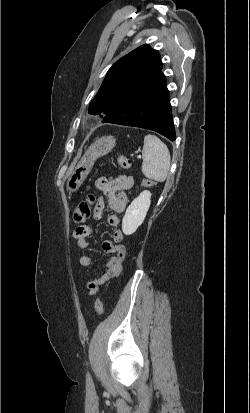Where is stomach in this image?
I'll list each match as a JSON object with an SVG mask.
<instances>
[{
    "mask_svg": "<svg viewBox=\"0 0 250 413\" xmlns=\"http://www.w3.org/2000/svg\"><path fill=\"white\" fill-rule=\"evenodd\" d=\"M115 143L116 140L114 137L104 136L88 148L66 181V190L69 195L80 188L90 173L94 162L99 157L108 154L114 148Z\"/></svg>",
    "mask_w": 250,
    "mask_h": 413,
    "instance_id": "stomach-1",
    "label": "stomach"
}]
</instances>
